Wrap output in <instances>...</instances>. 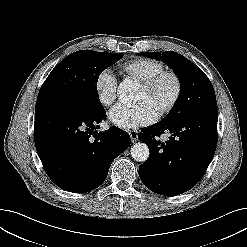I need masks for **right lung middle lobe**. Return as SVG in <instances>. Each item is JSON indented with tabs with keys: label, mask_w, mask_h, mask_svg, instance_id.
<instances>
[{
	"label": "right lung middle lobe",
	"mask_w": 247,
	"mask_h": 247,
	"mask_svg": "<svg viewBox=\"0 0 247 247\" xmlns=\"http://www.w3.org/2000/svg\"><path fill=\"white\" fill-rule=\"evenodd\" d=\"M122 57V53L76 51L51 71L37 99L59 97L88 112H102L104 109L96 89L98 77Z\"/></svg>",
	"instance_id": "1"
}]
</instances>
